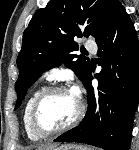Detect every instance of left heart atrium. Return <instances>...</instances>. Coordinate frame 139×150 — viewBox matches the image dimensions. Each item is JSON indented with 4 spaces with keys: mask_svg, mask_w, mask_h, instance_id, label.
Instances as JSON below:
<instances>
[{
    "mask_svg": "<svg viewBox=\"0 0 139 150\" xmlns=\"http://www.w3.org/2000/svg\"><path fill=\"white\" fill-rule=\"evenodd\" d=\"M72 93H73L75 96H78V95H79V89H78L77 87L73 88Z\"/></svg>",
    "mask_w": 139,
    "mask_h": 150,
    "instance_id": "obj_1",
    "label": "left heart atrium"
}]
</instances>
